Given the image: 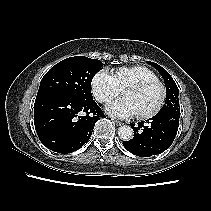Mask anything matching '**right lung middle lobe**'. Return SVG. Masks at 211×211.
<instances>
[{"label": "right lung middle lobe", "mask_w": 211, "mask_h": 211, "mask_svg": "<svg viewBox=\"0 0 211 211\" xmlns=\"http://www.w3.org/2000/svg\"><path fill=\"white\" fill-rule=\"evenodd\" d=\"M102 66L100 60L84 56L64 59L44 75L36 99L48 97L93 99L91 81Z\"/></svg>", "instance_id": "dd1d6c3e"}]
</instances>
